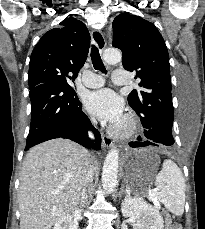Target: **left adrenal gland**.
I'll return each instance as SVG.
<instances>
[{
    "mask_svg": "<svg viewBox=\"0 0 205 229\" xmlns=\"http://www.w3.org/2000/svg\"><path fill=\"white\" fill-rule=\"evenodd\" d=\"M123 193H126V191L124 189V185H122V187L120 188L119 196H121V194H123Z\"/></svg>",
    "mask_w": 205,
    "mask_h": 229,
    "instance_id": "left-adrenal-gland-1",
    "label": "left adrenal gland"
}]
</instances>
